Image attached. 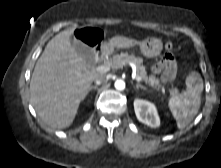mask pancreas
<instances>
[{
  "instance_id": "obj_1",
  "label": "pancreas",
  "mask_w": 221,
  "mask_h": 168,
  "mask_svg": "<svg viewBox=\"0 0 221 168\" xmlns=\"http://www.w3.org/2000/svg\"><path fill=\"white\" fill-rule=\"evenodd\" d=\"M127 63H133L136 66V75L141 78L146 84L154 87L157 91H162L165 93V89L160 85L159 80L153 76H147V72L145 66L143 65V61L140 58H136L134 55H129L127 53H122L120 55L113 56V59L110 61L111 66L113 67H122ZM177 91H172L171 95H175Z\"/></svg>"
}]
</instances>
